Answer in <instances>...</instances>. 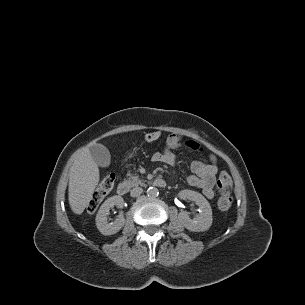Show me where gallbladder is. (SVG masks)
<instances>
[{"mask_svg":"<svg viewBox=\"0 0 305 305\" xmlns=\"http://www.w3.org/2000/svg\"><path fill=\"white\" fill-rule=\"evenodd\" d=\"M90 154L94 161L101 167H108L111 163V155L109 150L101 145L94 144L89 148Z\"/></svg>","mask_w":305,"mask_h":305,"instance_id":"bac80fb5","label":"gallbladder"}]
</instances>
